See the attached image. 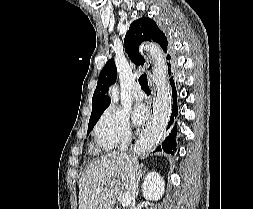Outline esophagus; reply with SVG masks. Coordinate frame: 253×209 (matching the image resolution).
Listing matches in <instances>:
<instances>
[{
    "instance_id": "1",
    "label": "esophagus",
    "mask_w": 253,
    "mask_h": 209,
    "mask_svg": "<svg viewBox=\"0 0 253 209\" xmlns=\"http://www.w3.org/2000/svg\"><path fill=\"white\" fill-rule=\"evenodd\" d=\"M153 116H154V110L152 109V107H150V119H152ZM149 122H150V120L147 122L145 127L149 124Z\"/></svg>"
}]
</instances>
